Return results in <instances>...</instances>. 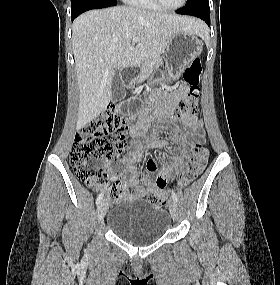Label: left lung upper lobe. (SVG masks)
<instances>
[{
    "label": "left lung upper lobe",
    "instance_id": "1",
    "mask_svg": "<svg viewBox=\"0 0 280 285\" xmlns=\"http://www.w3.org/2000/svg\"><path fill=\"white\" fill-rule=\"evenodd\" d=\"M208 2V0H187L186 6H190L196 3H205Z\"/></svg>",
    "mask_w": 280,
    "mask_h": 285
}]
</instances>
